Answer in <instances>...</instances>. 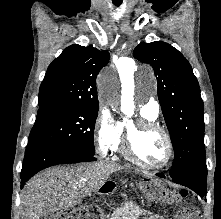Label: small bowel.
<instances>
[{
  "mask_svg": "<svg viewBox=\"0 0 221 219\" xmlns=\"http://www.w3.org/2000/svg\"><path fill=\"white\" fill-rule=\"evenodd\" d=\"M144 219H162V218L157 215H149V216L145 217Z\"/></svg>",
  "mask_w": 221,
  "mask_h": 219,
  "instance_id": "small-bowel-1",
  "label": "small bowel"
}]
</instances>
